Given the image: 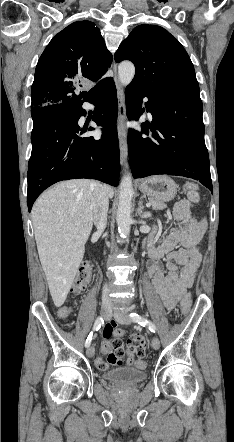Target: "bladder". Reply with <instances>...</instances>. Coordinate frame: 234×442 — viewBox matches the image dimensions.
Returning <instances> with one entry per match:
<instances>
[{"instance_id":"1","label":"bladder","mask_w":234,"mask_h":442,"mask_svg":"<svg viewBox=\"0 0 234 442\" xmlns=\"http://www.w3.org/2000/svg\"><path fill=\"white\" fill-rule=\"evenodd\" d=\"M105 378L119 385H135L143 382L147 378V373L144 368L123 366L108 371Z\"/></svg>"}]
</instances>
